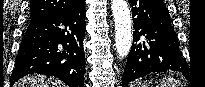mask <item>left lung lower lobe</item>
Listing matches in <instances>:
<instances>
[{
    "mask_svg": "<svg viewBox=\"0 0 205 87\" xmlns=\"http://www.w3.org/2000/svg\"><path fill=\"white\" fill-rule=\"evenodd\" d=\"M133 16V44L122 87L150 73L176 70L186 76L187 64L163 0H129Z\"/></svg>",
    "mask_w": 205,
    "mask_h": 87,
    "instance_id": "0a47b994",
    "label": "left lung lower lobe"
}]
</instances>
